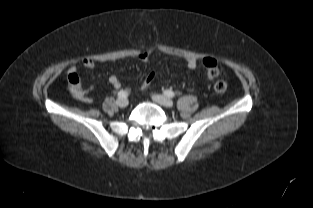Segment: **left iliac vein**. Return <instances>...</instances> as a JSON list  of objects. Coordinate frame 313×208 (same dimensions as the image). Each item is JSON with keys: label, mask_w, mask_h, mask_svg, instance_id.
<instances>
[{"label": "left iliac vein", "mask_w": 313, "mask_h": 208, "mask_svg": "<svg viewBox=\"0 0 313 208\" xmlns=\"http://www.w3.org/2000/svg\"><path fill=\"white\" fill-rule=\"evenodd\" d=\"M153 100L158 104L168 108L173 106V101L164 95L155 94L153 95Z\"/></svg>", "instance_id": "left-iliac-vein-1"}]
</instances>
